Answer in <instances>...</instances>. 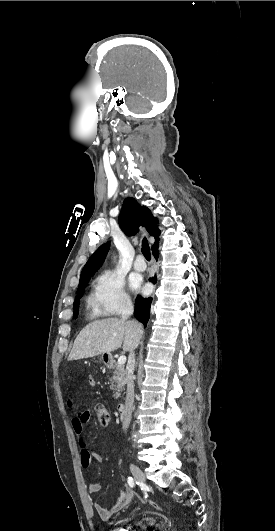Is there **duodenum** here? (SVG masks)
Wrapping results in <instances>:
<instances>
[{
	"label": "duodenum",
	"instance_id": "410a0bca",
	"mask_svg": "<svg viewBox=\"0 0 275 531\" xmlns=\"http://www.w3.org/2000/svg\"><path fill=\"white\" fill-rule=\"evenodd\" d=\"M105 362L108 365H110V364H112V359L109 356H106L105 357ZM117 411H118L119 417L120 418H124L125 414H126V406H125V404L124 403L119 404L118 407H117Z\"/></svg>",
	"mask_w": 275,
	"mask_h": 531
}]
</instances>
